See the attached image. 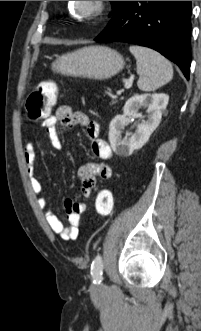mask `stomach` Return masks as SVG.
Here are the masks:
<instances>
[{"label": "stomach", "mask_w": 201, "mask_h": 331, "mask_svg": "<svg viewBox=\"0 0 201 331\" xmlns=\"http://www.w3.org/2000/svg\"><path fill=\"white\" fill-rule=\"evenodd\" d=\"M124 65L123 56L116 50L93 45L59 56L52 68L68 76L104 80L119 73Z\"/></svg>", "instance_id": "1"}]
</instances>
